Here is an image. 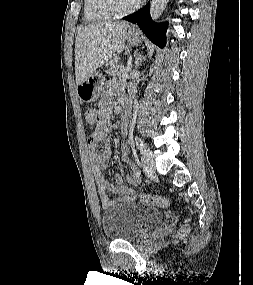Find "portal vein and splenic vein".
Wrapping results in <instances>:
<instances>
[{"label":"portal vein and splenic vein","mask_w":253,"mask_h":285,"mask_svg":"<svg viewBox=\"0 0 253 285\" xmlns=\"http://www.w3.org/2000/svg\"><path fill=\"white\" fill-rule=\"evenodd\" d=\"M128 69L122 74V78L127 79L128 78Z\"/></svg>","instance_id":"18ae733b"}]
</instances>
